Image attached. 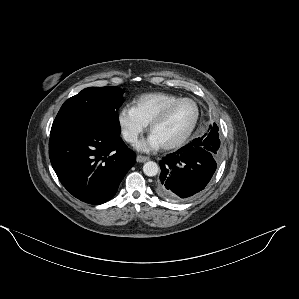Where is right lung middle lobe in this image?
Returning a JSON list of instances; mask_svg holds the SVG:
<instances>
[{"instance_id":"obj_1","label":"right lung middle lobe","mask_w":299,"mask_h":299,"mask_svg":"<svg viewBox=\"0 0 299 299\" xmlns=\"http://www.w3.org/2000/svg\"><path fill=\"white\" fill-rule=\"evenodd\" d=\"M123 93L116 86L82 90L62 105L50 135L73 127H96L120 133L117 110L123 103Z\"/></svg>"}]
</instances>
